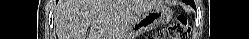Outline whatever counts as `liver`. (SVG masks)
<instances>
[{
	"label": "liver",
	"mask_w": 249,
	"mask_h": 39,
	"mask_svg": "<svg viewBox=\"0 0 249 39\" xmlns=\"http://www.w3.org/2000/svg\"><path fill=\"white\" fill-rule=\"evenodd\" d=\"M158 4V0L62 2L58 7V39H125L135 18Z\"/></svg>",
	"instance_id": "liver-1"
}]
</instances>
